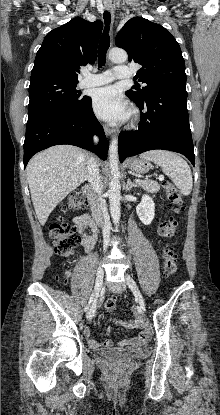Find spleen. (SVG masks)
<instances>
[{
	"label": "spleen",
	"instance_id": "obj_1",
	"mask_svg": "<svg viewBox=\"0 0 220 415\" xmlns=\"http://www.w3.org/2000/svg\"><path fill=\"white\" fill-rule=\"evenodd\" d=\"M140 158L159 165L183 195L187 196L191 193L192 173L187 162L179 155L165 150H153L141 154Z\"/></svg>",
	"mask_w": 220,
	"mask_h": 415
}]
</instances>
